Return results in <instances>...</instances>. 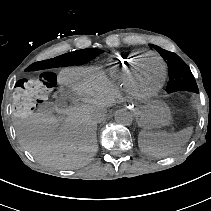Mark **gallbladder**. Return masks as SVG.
Listing matches in <instances>:
<instances>
[{
    "instance_id": "gallbladder-1",
    "label": "gallbladder",
    "mask_w": 211,
    "mask_h": 211,
    "mask_svg": "<svg viewBox=\"0 0 211 211\" xmlns=\"http://www.w3.org/2000/svg\"><path fill=\"white\" fill-rule=\"evenodd\" d=\"M76 98V93L71 88L65 87L59 90L55 105L58 108H63L67 101H74Z\"/></svg>"
}]
</instances>
